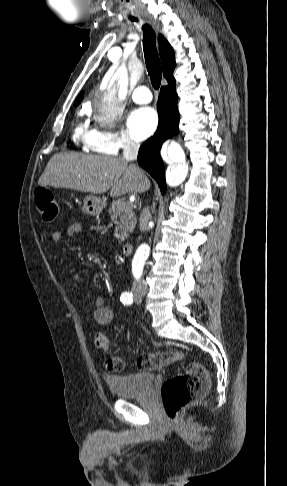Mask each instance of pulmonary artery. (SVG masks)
<instances>
[{
	"instance_id": "1",
	"label": "pulmonary artery",
	"mask_w": 287,
	"mask_h": 486,
	"mask_svg": "<svg viewBox=\"0 0 287 486\" xmlns=\"http://www.w3.org/2000/svg\"><path fill=\"white\" fill-rule=\"evenodd\" d=\"M131 97L134 102L139 104L149 103L152 100V95L146 86L136 87L132 91Z\"/></svg>"
}]
</instances>
